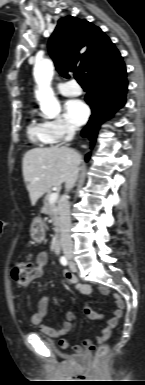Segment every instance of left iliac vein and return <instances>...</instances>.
<instances>
[{"label": "left iliac vein", "mask_w": 145, "mask_h": 385, "mask_svg": "<svg viewBox=\"0 0 145 385\" xmlns=\"http://www.w3.org/2000/svg\"><path fill=\"white\" fill-rule=\"evenodd\" d=\"M70 270H71L72 272H75V271L77 270L76 265H75L74 262H71V263H70Z\"/></svg>", "instance_id": "4c4485c4"}]
</instances>
